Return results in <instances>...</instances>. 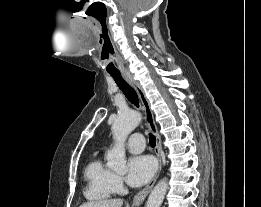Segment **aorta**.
<instances>
[{"instance_id":"1","label":"aorta","mask_w":261,"mask_h":207,"mask_svg":"<svg viewBox=\"0 0 261 207\" xmlns=\"http://www.w3.org/2000/svg\"><path fill=\"white\" fill-rule=\"evenodd\" d=\"M141 115L135 111L121 112L114 121L111 130L115 141L113 149L107 153V166L115 171L126 169L125 141L128 135L139 125ZM168 189L167 179L160 180L151 191L146 207H160Z\"/></svg>"}]
</instances>
